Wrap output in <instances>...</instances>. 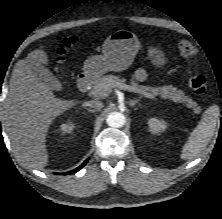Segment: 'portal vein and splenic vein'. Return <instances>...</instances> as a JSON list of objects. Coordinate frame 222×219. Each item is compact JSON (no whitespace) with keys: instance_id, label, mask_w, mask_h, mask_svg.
<instances>
[{"instance_id":"obj_1","label":"portal vein and splenic vein","mask_w":222,"mask_h":219,"mask_svg":"<svg viewBox=\"0 0 222 219\" xmlns=\"http://www.w3.org/2000/svg\"><path fill=\"white\" fill-rule=\"evenodd\" d=\"M117 87L122 90L136 92L135 88H133L132 86L126 85V84H118ZM104 95L108 96V94H104Z\"/></svg>"}]
</instances>
